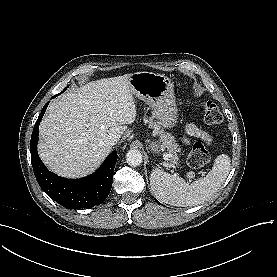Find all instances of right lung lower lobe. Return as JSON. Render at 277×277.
I'll use <instances>...</instances> for the list:
<instances>
[{
  "label": "right lung lower lobe",
  "mask_w": 277,
  "mask_h": 277,
  "mask_svg": "<svg viewBox=\"0 0 277 277\" xmlns=\"http://www.w3.org/2000/svg\"><path fill=\"white\" fill-rule=\"evenodd\" d=\"M48 104L49 102L44 105L34 125L30 143L32 166L38 184L48 196L68 209L92 208L101 204L112 187L118 157L116 151L106 158L94 174L85 178L66 179L50 172L37 153L39 124Z\"/></svg>",
  "instance_id": "1"
}]
</instances>
